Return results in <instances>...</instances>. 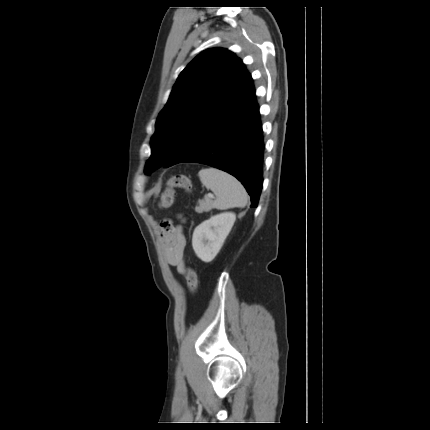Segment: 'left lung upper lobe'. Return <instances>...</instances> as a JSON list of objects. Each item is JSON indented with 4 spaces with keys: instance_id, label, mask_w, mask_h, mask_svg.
I'll use <instances>...</instances> for the list:
<instances>
[{
    "instance_id": "5c2ea615",
    "label": "left lung upper lobe",
    "mask_w": 430,
    "mask_h": 430,
    "mask_svg": "<svg viewBox=\"0 0 430 430\" xmlns=\"http://www.w3.org/2000/svg\"><path fill=\"white\" fill-rule=\"evenodd\" d=\"M254 94L253 79L234 53L222 48L200 53L180 73L157 118L144 173L149 175L183 151L206 119L235 115Z\"/></svg>"
}]
</instances>
